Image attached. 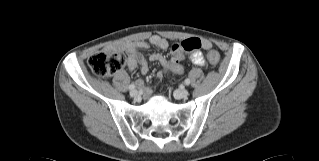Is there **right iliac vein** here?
Returning a JSON list of instances; mask_svg holds the SVG:
<instances>
[{
	"mask_svg": "<svg viewBox=\"0 0 319 161\" xmlns=\"http://www.w3.org/2000/svg\"><path fill=\"white\" fill-rule=\"evenodd\" d=\"M139 93L137 90H132L130 91V96L133 97V98H136L138 97Z\"/></svg>",
	"mask_w": 319,
	"mask_h": 161,
	"instance_id": "obj_1",
	"label": "right iliac vein"
}]
</instances>
